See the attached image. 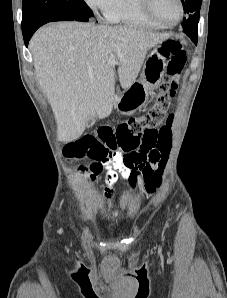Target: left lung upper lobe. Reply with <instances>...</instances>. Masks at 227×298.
Here are the masks:
<instances>
[{
  "instance_id": "1",
  "label": "left lung upper lobe",
  "mask_w": 227,
  "mask_h": 298,
  "mask_svg": "<svg viewBox=\"0 0 227 298\" xmlns=\"http://www.w3.org/2000/svg\"><path fill=\"white\" fill-rule=\"evenodd\" d=\"M184 12L189 14V17L184 19L182 26L183 31L195 43L197 41L199 12L202 0H181Z\"/></svg>"
}]
</instances>
